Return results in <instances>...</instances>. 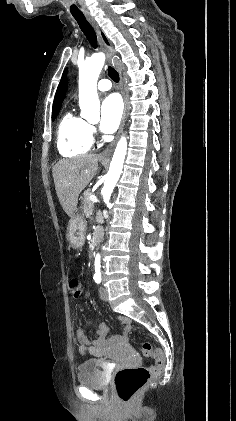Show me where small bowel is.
Here are the masks:
<instances>
[{
	"label": "small bowel",
	"mask_w": 236,
	"mask_h": 421,
	"mask_svg": "<svg viewBox=\"0 0 236 421\" xmlns=\"http://www.w3.org/2000/svg\"><path fill=\"white\" fill-rule=\"evenodd\" d=\"M100 330H103V331H105L107 333V327L104 324H100L99 325V331ZM81 352L84 353L85 352V349L82 348L81 349Z\"/></svg>",
	"instance_id": "obj_1"
}]
</instances>
